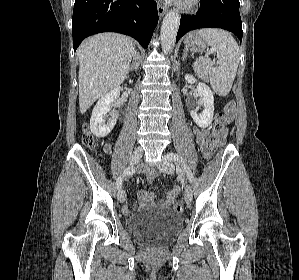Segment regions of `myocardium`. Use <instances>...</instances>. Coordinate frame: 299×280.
I'll use <instances>...</instances> for the list:
<instances>
[{"instance_id":"1","label":"myocardium","mask_w":299,"mask_h":280,"mask_svg":"<svg viewBox=\"0 0 299 280\" xmlns=\"http://www.w3.org/2000/svg\"><path fill=\"white\" fill-rule=\"evenodd\" d=\"M200 0H180L178 6L180 9L189 11L196 8L199 4Z\"/></svg>"}]
</instances>
